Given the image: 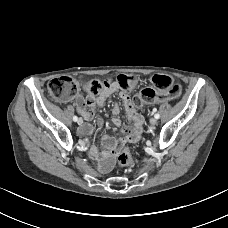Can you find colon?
I'll use <instances>...</instances> for the list:
<instances>
[{
	"instance_id": "5ec220e1",
	"label": "colon",
	"mask_w": 228,
	"mask_h": 228,
	"mask_svg": "<svg viewBox=\"0 0 228 228\" xmlns=\"http://www.w3.org/2000/svg\"><path fill=\"white\" fill-rule=\"evenodd\" d=\"M153 88H145L133 99L134 107H142L162 101L177 99L181 94V88L174 79L165 74L154 75L151 79ZM137 83L133 75H119L114 81L111 78L92 79L89 81H77L70 77H59L52 79L48 84L50 97L58 102H66L77 98L81 93L86 92L90 97H97L113 84H117L123 91L132 90ZM118 161L123 166H132L133 160L128 148H124L118 155Z\"/></svg>"
}]
</instances>
